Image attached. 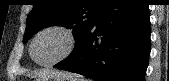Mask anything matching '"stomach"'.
<instances>
[{
	"label": "stomach",
	"instance_id": "obj_1",
	"mask_svg": "<svg viewBox=\"0 0 169 81\" xmlns=\"http://www.w3.org/2000/svg\"><path fill=\"white\" fill-rule=\"evenodd\" d=\"M35 81H77L74 78H65L59 75H51L47 77H37Z\"/></svg>",
	"mask_w": 169,
	"mask_h": 81
}]
</instances>
